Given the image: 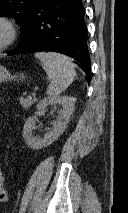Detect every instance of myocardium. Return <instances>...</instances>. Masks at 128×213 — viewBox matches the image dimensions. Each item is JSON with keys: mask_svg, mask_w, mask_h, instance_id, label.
<instances>
[{"mask_svg": "<svg viewBox=\"0 0 128 213\" xmlns=\"http://www.w3.org/2000/svg\"><path fill=\"white\" fill-rule=\"evenodd\" d=\"M0 24H2L7 30V37L0 45V51H3L11 47L16 42L19 30L17 24L8 16L0 15Z\"/></svg>", "mask_w": 128, "mask_h": 213, "instance_id": "obj_1", "label": "myocardium"}]
</instances>
